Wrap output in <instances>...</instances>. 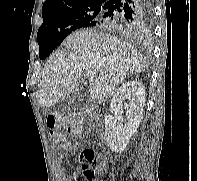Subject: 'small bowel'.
Segmentation results:
<instances>
[{
	"mask_svg": "<svg viewBox=\"0 0 197 181\" xmlns=\"http://www.w3.org/2000/svg\"><path fill=\"white\" fill-rule=\"evenodd\" d=\"M80 148L78 142H69L65 141L55 159V167L61 181H71L70 176L65 172L63 168L64 157L66 153L71 152L72 150H77ZM59 149V148H58Z\"/></svg>",
	"mask_w": 197,
	"mask_h": 181,
	"instance_id": "c3829d8e",
	"label": "small bowel"
}]
</instances>
